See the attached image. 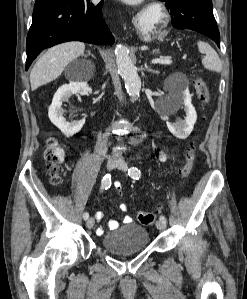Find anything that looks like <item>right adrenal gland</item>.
Wrapping results in <instances>:
<instances>
[{"label": "right adrenal gland", "instance_id": "2a0ac1e0", "mask_svg": "<svg viewBox=\"0 0 247 299\" xmlns=\"http://www.w3.org/2000/svg\"><path fill=\"white\" fill-rule=\"evenodd\" d=\"M87 55H90V56H92L93 58H95V56H94L90 51L87 52Z\"/></svg>", "mask_w": 247, "mask_h": 299}]
</instances>
